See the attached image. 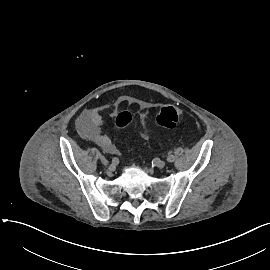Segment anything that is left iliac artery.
Here are the masks:
<instances>
[{
    "instance_id": "44dca946",
    "label": "left iliac artery",
    "mask_w": 270,
    "mask_h": 270,
    "mask_svg": "<svg viewBox=\"0 0 270 270\" xmlns=\"http://www.w3.org/2000/svg\"><path fill=\"white\" fill-rule=\"evenodd\" d=\"M167 161L170 162V163L174 162L175 161V156L174 155H169L167 157Z\"/></svg>"
}]
</instances>
